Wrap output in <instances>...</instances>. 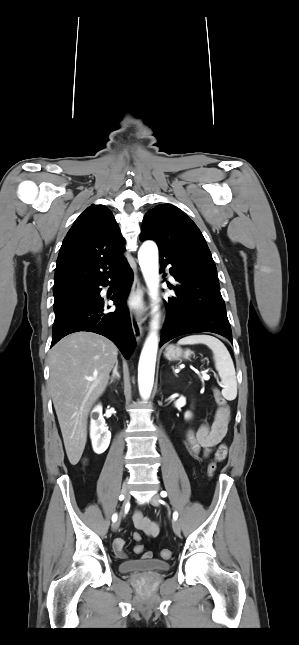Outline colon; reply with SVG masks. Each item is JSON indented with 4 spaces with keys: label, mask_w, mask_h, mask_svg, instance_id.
<instances>
[{
    "label": "colon",
    "mask_w": 299,
    "mask_h": 645,
    "mask_svg": "<svg viewBox=\"0 0 299 645\" xmlns=\"http://www.w3.org/2000/svg\"><path fill=\"white\" fill-rule=\"evenodd\" d=\"M213 395H214L215 401H216L221 413L223 414V416L225 418H229L230 408H229L227 400L224 398V396L222 395L221 391L218 388H215L213 390ZM216 468H217L216 461H211L209 463L208 467H207V472H208L209 477L214 476ZM133 537H134V539L136 541H139L141 539L140 534H135ZM134 551L137 554L143 553V551H144L143 545H141V544L136 545L134 547ZM161 556L164 559H169L172 556V552L169 549H163L161 551Z\"/></svg>",
    "instance_id": "1"
}]
</instances>
